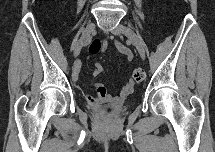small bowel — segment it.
Here are the masks:
<instances>
[{
    "label": "small bowel",
    "mask_w": 215,
    "mask_h": 152,
    "mask_svg": "<svg viewBox=\"0 0 215 152\" xmlns=\"http://www.w3.org/2000/svg\"><path fill=\"white\" fill-rule=\"evenodd\" d=\"M109 39L114 40L113 37H111V36L109 37ZM114 44L119 52L124 54L128 60H132L133 54L128 47H126L125 45H123L122 43H120L118 41H114ZM106 47H107V42H104L103 48L106 49ZM79 72H80V65L78 64L74 67V70L72 73V77H73L74 81L78 80ZM101 73H102V66L100 65V63H96L95 69L93 70L92 74L94 77H97ZM94 88L96 89V92H97L96 97L91 96V95H86V100L88 101L89 104L93 105L99 101H105V100L109 99V95L107 94L106 88L103 83H99V82L95 83ZM133 90H134V83L132 81H128L123 86V88L120 92V97L124 98V97L128 96L129 94H131L133 92Z\"/></svg>",
    "instance_id": "c3829d8e"
}]
</instances>
